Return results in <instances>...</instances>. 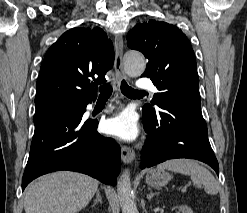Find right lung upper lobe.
Instances as JSON below:
<instances>
[{"mask_svg": "<svg viewBox=\"0 0 247 213\" xmlns=\"http://www.w3.org/2000/svg\"><path fill=\"white\" fill-rule=\"evenodd\" d=\"M114 64L106 33L96 27L66 31L46 52L36 84V109L61 98L90 101ZM93 80V81H92Z\"/></svg>", "mask_w": 247, "mask_h": 213, "instance_id": "cb5924a9", "label": "right lung upper lobe"}]
</instances>
